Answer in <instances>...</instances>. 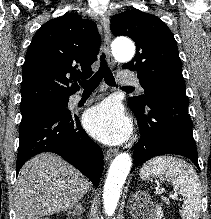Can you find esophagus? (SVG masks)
I'll return each instance as SVG.
<instances>
[{"instance_id": "1", "label": "esophagus", "mask_w": 211, "mask_h": 219, "mask_svg": "<svg viewBox=\"0 0 211 219\" xmlns=\"http://www.w3.org/2000/svg\"><path fill=\"white\" fill-rule=\"evenodd\" d=\"M100 23L104 31V50H105L110 66L114 68L116 66V62L113 59L111 55V51H110L111 33H110L109 18L106 14H102L100 16ZM117 153H118L117 149H108L106 152L105 159L109 160L112 157H114Z\"/></svg>"}]
</instances>
